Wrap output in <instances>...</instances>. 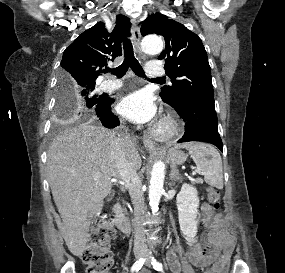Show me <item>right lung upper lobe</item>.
Instances as JSON below:
<instances>
[{
	"mask_svg": "<svg viewBox=\"0 0 285 273\" xmlns=\"http://www.w3.org/2000/svg\"><path fill=\"white\" fill-rule=\"evenodd\" d=\"M130 20L117 15L111 33L103 22L83 32L63 53L61 75L76 85H95L101 68L122 55L121 41L130 35Z\"/></svg>",
	"mask_w": 285,
	"mask_h": 273,
	"instance_id": "1",
	"label": "right lung upper lobe"
}]
</instances>
